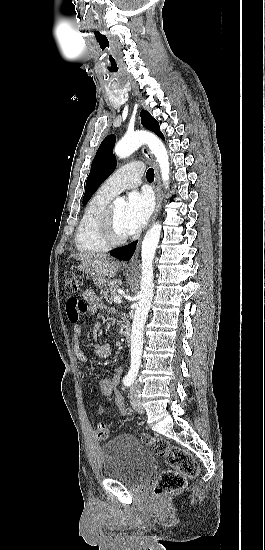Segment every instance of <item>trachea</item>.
I'll list each match as a JSON object with an SVG mask.
<instances>
[{
	"label": "trachea",
	"instance_id": "obj_1",
	"mask_svg": "<svg viewBox=\"0 0 265 550\" xmlns=\"http://www.w3.org/2000/svg\"><path fill=\"white\" fill-rule=\"evenodd\" d=\"M146 178L148 181L154 180V170L152 168H149L146 173Z\"/></svg>",
	"mask_w": 265,
	"mask_h": 550
}]
</instances>
